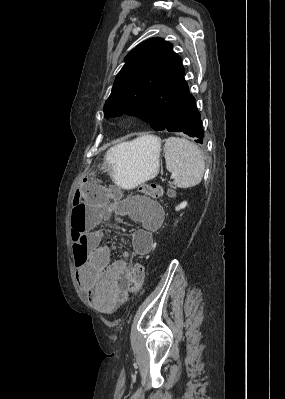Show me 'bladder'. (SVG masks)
Wrapping results in <instances>:
<instances>
[{"instance_id":"31cf9c89","label":"bladder","mask_w":285,"mask_h":399,"mask_svg":"<svg viewBox=\"0 0 285 399\" xmlns=\"http://www.w3.org/2000/svg\"><path fill=\"white\" fill-rule=\"evenodd\" d=\"M134 200H138V201H142V202H144L146 205H154V202L153 201H151V200H149V199H147V198H142V197H139V199H137V198H133Z\"/></svg>"}]
</instances>
